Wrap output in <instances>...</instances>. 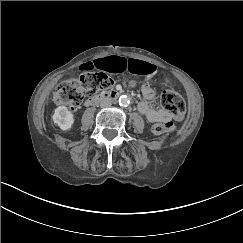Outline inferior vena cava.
<instances>
[{
  "mask_svg": "<svg viewBox=\"0 0 243 243\" xmlns=\"http://www.w3.org/2000/svg\"><path fill=\"white\" fill-rule=\"evenodd\" d=\"M111 105H112V102L108 98H104L100 102V107H102V108H109Z\"/></svg>",
  "mask_w": 243,
  "mask_h": 243,
  "instance_id": "602c4592",
  "label": "inferior vena cava"
}]
</instances>
